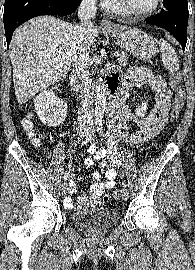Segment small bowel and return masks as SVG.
<instances>
[{
  "label": "small bowel",
  "mask_w": 195,
  "mask_h": 270,
  "mask_svg": "<svg viewBox=\"0 0 195 270\" xmlns=\"http://www.w3.org/2000/svg\"><path fill=\"white\" fill-rule=\"evenodd\" d=\"M110 78L118 85V74H113ZM145 84L149 85L155 94V105L145 119L139 120L124 103L133 87ZM171 99L172 92L167 88L166 82L161 76H155L144 69H132L124 75L122 89L118 92L115 102L110 106V130L107 135V144L102 148L90 147L88 150L90 156L85 160L87 166H92L95 161L100 162L101 166L105 168V181L93 184L89 193L79 197V204L107 203L109 201L108 191L115 186L116 168L121 165L117 149L118 142L127 141L137 144L148 141L158 134L167 121ZM132 122L136 123V128H132ZM105 157L108 160H104ZM93 177L99 179L101 175L99 172H94ZM70 186V194H74L77 191V185L71 181ZM66 206L73 207L70 197L66 199Z\"/></svg>",
  "instance_id": "1"
}]
</instances>
